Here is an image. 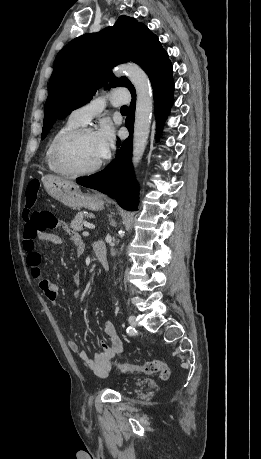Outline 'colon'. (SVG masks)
Returning <instances> with one entry per match:
<instances>
[{
  "label": "colon",
  "mask_w": 261,
  "mask_h": 459,
  "mask_svg": "<svg viewBox=\"0 0 261 459\" xmlns=\"http://www.w3.org/2000/svg\"><path fill=\"white\" fill-rule=\"evenodd\" d=\"M39 191V181L36 179L31 180L27 185L25 193L24 212L28 219L21 221V224L24 225L22 229V236L24 238H34L36 231L40 232L47 229L64 227L63 221L49 211H35L30 214L37 201ZM115 365L122 372H140L148 375L158 373L162 379H167L170 375L167 364L160 360L147 361L143 365L130 363H115Z\"/></svg>",
  "instance_id": "1"
}]
</instances>
